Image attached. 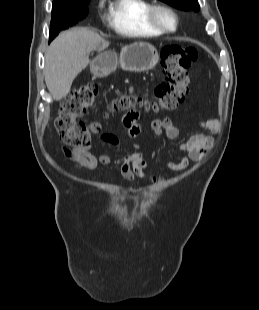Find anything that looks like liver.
<instances>
[{"label":"liver","instance_id":"1","mask_svg":"<svg viewBox=\"0 0 259 310\" xmlns=\"http://www.w3.org/2000/svg\"><path fill=\"white\" fill-rule=\"evenodd\" d=\"M109 42L98 33L85 28H73L56 37L45 53V82L56 101L66 97L73 80L84 70L91 51L103 50Z\"/></svg>","mask_w":259,"mask_h":310}]
</instances>
